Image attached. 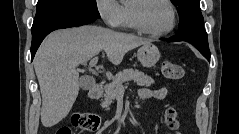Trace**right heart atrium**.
Returning a JSON list of instances; mask_svg holds the SVG:
<instances>
[{"label": "right heart atrium", "mask_w": 239, "mask_h": 134, "mask_svg": "<svg viewBox=\"0 0 239 134\" xmlns=\"http://www.w3.org/2000/svg\"><path fill=\"white\" fill-rule=\"evenodd\" d=\"M97 12L103 22L112 28L119 27L122 22V8L116 0H97Z\"/></svg>", "instance_id": "1"}]
</instances>
